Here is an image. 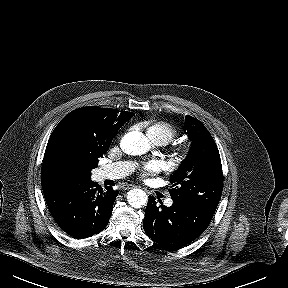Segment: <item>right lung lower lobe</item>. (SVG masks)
I'll use <instances>...</instances> for the list:
<instances>
[{"instance_id": "obj_1", "label": "right lung lower lobe", "mask_w": 288, "mask_h": 288, "mask_svg": "<svg viewBox=\"0 0 288 288\" xmlns=\"http://www.w3.org/2000/svg\"><path fill=\"white\" fill-rule=\"evenodd\" d=\"M118 191L97 183H85L44 193L47 206L58 224L74 238H88L108 224Z\"/></svg>"}]
</instances>
